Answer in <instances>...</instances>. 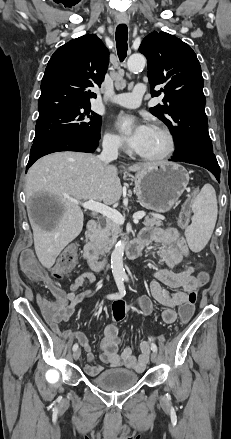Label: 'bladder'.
Returning a JSON list of instances; mask_svg holds the SVG:
<instances>
[{"instance_id":"1","label":"bladder","mask_w":231,"mask_h":439,"mask_svg":"<svg viewBox=\"0 0 231 439\" xmlns=\"http://www.w3.org/2000/svg\"><path fill=\"white\" fill-rule=\"evenodd\" d=\"M138 380L135 372L123 368L107 369L92 378L95 386L110 391L133 387Z\"/></svg>"}]
</instances>
